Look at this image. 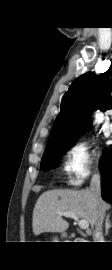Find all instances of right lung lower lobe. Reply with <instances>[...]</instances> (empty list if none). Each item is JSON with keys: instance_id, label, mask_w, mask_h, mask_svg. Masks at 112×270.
<instances>
[{"instance_id": "1", "label": "right lung lower lobe", "mask_w": 112, "mask_h": 270, "mask_svg": "<svg viewBox=\"0 0 112 270\" xmlns=\"http://www.w3.org/2000/svg\"><path fill=\"white\" fill-rule=\"evenodd\" d=\"M102 198L112 204V146L100 162Z\"/></svg>"}]
</instances>
